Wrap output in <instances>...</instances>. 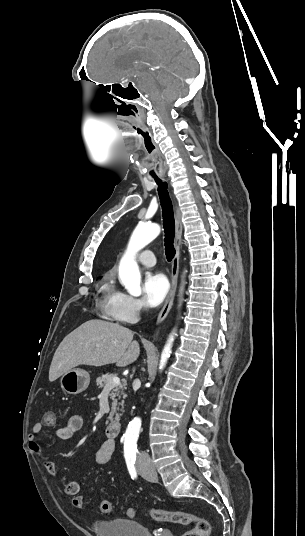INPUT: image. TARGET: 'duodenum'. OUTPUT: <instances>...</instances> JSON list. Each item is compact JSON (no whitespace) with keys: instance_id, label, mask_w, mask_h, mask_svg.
Listing matches in <instances>:
<instances>
[{"instance_id":"obj_1","label":"duodenum","mask_w":305,"mask_h":536,"mask_svg":"<svg viewBox=\"0 0 305 536\" xmlns=\"http://www.w3.org/2000/svg\"><path fill=\"white\" fill-rule=\"evenodd\" d=\"M122 432V424L119 422H113L105 427V434L109 438L118 437Z\"/></svg>"}]
</instances>
